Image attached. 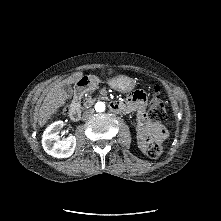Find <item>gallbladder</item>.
<instances>
[{"instance_id": "obj_1", "label": "gallbladder", "mask_w": 221, "mask_h": 221, "mask_svg": "<svg viewBox=\"0 0 221 221\" xmlns=\"http://www.w3.org/2000/svg\"><path fill=\"white\" fill-rule=\"evenodd\" d=\"M63 89H64V91L66 92V94H67L68 96H71V95H72L73 90H72V87H71L69 84H65V85L63 86Z\"/></svg>"}]
</instances>
